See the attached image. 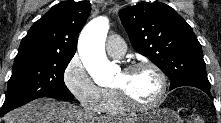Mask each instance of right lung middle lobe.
I'll return each mask as SVG.
<instances>
[{
  "mask_svg": "<svg viewBox=\"0 0 221 123\" xmlns=\"http://www.w3.org/2000/svg\"><path fill=\"white\" fill-rule=\"evenodd\" d=\"M73 56L51 52H18L1 114L42 97L72 100L74 96L66 87L63 77Z\"/></svg>",
  "mask_w": 221,
  "mask_h": 123,
  "instance_id": "obj_1",
  "label": "right lung middle lobe"
}]
</instances>
